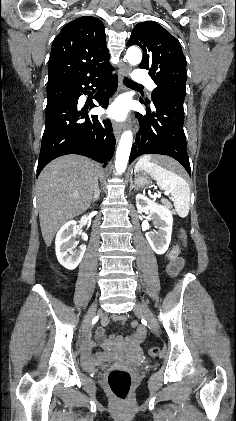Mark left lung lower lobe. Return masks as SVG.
Instances as JSON below:
<instances>
[{
	"label": "left lung lower lobe",
	"instance_id": "0a47b994",
	"mask_svg": "<svg viewBox=\"0 0 236 421\" xmlns=\"http://www.w3.org/2000/svg\"><path fill=\"white\" fill-rule=\"evenodd\" d=\"M184 98L175 92H164L153 101V110L149 103H144L147 115L136 114L140 132L132 146L129 163L143 154L167 155L182 164L191 176L183 130Z\"/></svg>",
	"mask_w": 236,
	"mask_h": 421
}]
</instances>
